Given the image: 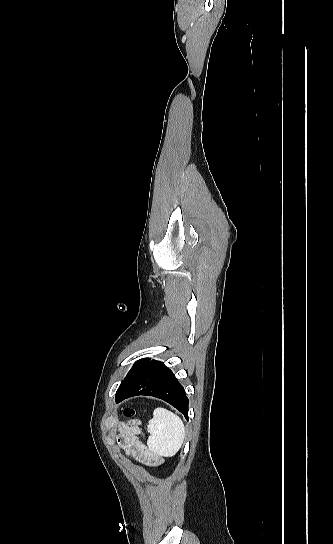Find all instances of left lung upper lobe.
<instances>
[{
	"label": "left lung upper lobe",
	"instance_id": "5c2ea615",
	"mask_svg": "<svg viewBox=\"0 0 333 544\" xmlns=\"http://www.w3.org/2000/svg\"><path fill=\"white\" fill-rule=\"evenodd\" d=\"M149 358L140 359L135 362L132 369L129 371L128 375L125 377L123 382L120 384L118 391L122 390L134 377L138 374V372L144 367V365L149 361Z\"/></svg>",
	"mask_w": 333,
	"mask_h": 544
}]
</instances>
